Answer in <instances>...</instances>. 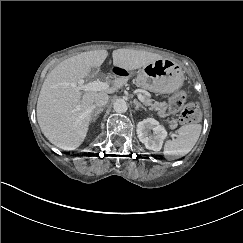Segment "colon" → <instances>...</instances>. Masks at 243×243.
<instances>
[{"label": "colon", "instance_id": "1", "mask_svg": "<svg viewBox=\"0 0 243 243\" xmlns=\"http://www.w3.org/2000/svg\"><path fill=\"white\" fill-rule=\"evenodd\" d=\"M187 92L185 90L174 94L168 102V110L171 114H178L180 121L184 124L198 122L201 112L198 104H186Z\"/></svg>", "mask_w": 243, "mask_h": 243}]
</instances>
